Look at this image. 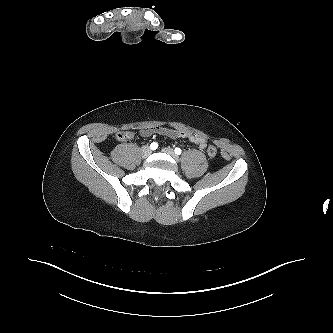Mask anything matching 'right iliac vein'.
Masks as SVG:
<instances>
[{"label": "right iliac vein", "instance_id": "right-iliac-vein-1", "mask_svg": "<svg viewBox=\"0 0 333 333\" xmlns=\"http://www.w3.org/2000/svg\"><path fill=\"white\" fill-rule=\"evenodd\" d=\"M151 154V148L148 146L142 147V157L147 158Z\"/></svg>", "mask_w": 333, "mask_h": 333}]
</instances>
